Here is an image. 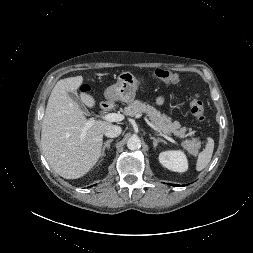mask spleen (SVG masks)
I'll use <instances>...</instances> for the list:
<instances>
[{"mask_svg": "<svg viewBox=\"0 0 253 253\" xmlns=\"http://www.w3.org/2000/svg\"><path fill=\"white\" fill-rule=\"evenodd\" d=\"M214 150V140L210 137L207 138V143L205 149L199 153L197 162H196V170H203L211 160L212 154Z\"/></svg>", "mask_w": 253, "mask_h": 253, "instance_id": "1", "label": "spleen"}]
</instances>
